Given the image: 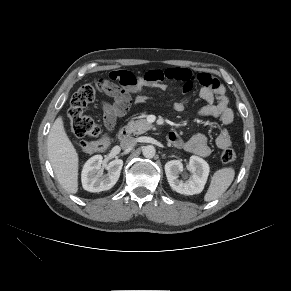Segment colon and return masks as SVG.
<instances>
[{
    "label": "colon",
    "mask_w": 291,
    "mask_h": 291,
    "mask_svg": "<svg viewBox=\"0 0 291 291\" xmlns=\"http://www.w3.org/2000/svg\"><path fill=\"white\" fill-rule=\"evenodd\" d=\"M111 86V81L99 78L92 83L81 86L70 101L68 117L73 132L81 138L76 142V145L84 153L104 150L109 144L107 135L103 133L97 122L86 113V108L95 100L97 92H107ZM82 138H91V140ZM220 158L224 163H231L236 160V153L231 148H224Z\"/></svg>",
    "instance_id": "1"
}]
</instances>
